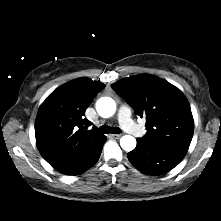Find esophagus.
<instances>
[{
    "mask_svg": "<svg viewBox=\"0 0 221 221\" xmlns=\"http://www.w3.org/2000/svg\"><path fill=\"white\" fill-rule=\"evenodd\" d=\"M111 136H112L113 138L118 139V138H120V137L122 136V134H112Z\"/></svg>",
    "mask_w": 221,
    "mask_h": 221,
    "instance_id": "1",
    "label": "esophagus"
}]
</instances>
